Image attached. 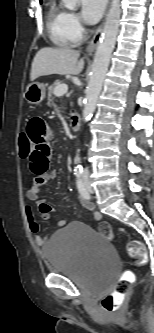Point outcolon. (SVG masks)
Listing matches in <instances>:
<instances>
[{
  "mask_svg": "<svg viewBox=\"0 0 154 333\" xmlns=\"http://www.w3.org/2000/svg\"><path fill=\"white\" fill-rule=\"evenodd\" d=\"M19 155L26 159L30 156L32 150V142L26 133L19 137ZM98 232L108 239L113 238V232L108 222H101L98 226ZM127 251L130 257L136 260L138 265H142L147 260V253L144 244L139 240H132L127 245ZM133 282L131 272H125L118 280L115 289L105 295L101 300V307L107 312L119 311L125 301V297Z\"/></svg>",
  "mask_w": 154,
  "mask_h": 333,
  "instance_id": "1",
  "label": "colon"
}]
</instances>
